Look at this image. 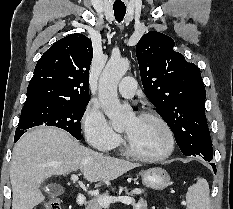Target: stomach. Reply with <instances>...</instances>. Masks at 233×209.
I'll use <instances>...</instances> for the list:
<instances>
[{
	"instance_id": "1",
	"label": "stomach",
	"mask_w": 233,
	"mask_h": 209,
	"mask_svg": "<svg viewBox=\"0 0 233 209\" xmlns=\"http://www.w3.org/2000/svg\"><path fill=\"white\" fill-rule=\"evenodd\" d=\"M141 176L143 185L154 190H162L171 183L170 175L161 167L149 168Z\"/></svg>"
}]
</instances>
